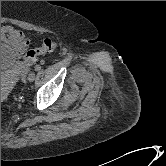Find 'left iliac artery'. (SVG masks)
<instances>
[{
    "mask_svg": "<svg viewBox=\"0 0 166 166\" xmlns=\"http://www.w3.org/2000/svg\"><path fill=\"white\" fill-rule=\"evenodd\" d=\"M35 70H36V71H39V70H41V67H40L39 65H36V66H35Z\"/></svg>",
    "mask_w": 166,
    "mask_h": 166,
    "instance_id": "left-iliac-artery-1",
    "label": "left iliac artery"
}]
</instances>
